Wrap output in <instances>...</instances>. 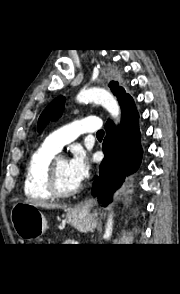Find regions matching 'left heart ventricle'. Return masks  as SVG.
<instances>
[{"instance_id":"1","label":"left heart ventricle","mask_w":180,"mask_h":294,"mask_svg":"<svg viewBox=\"0 0 180 294\" xmlns=\"http://www.w3.org/2000/svg\"><path fill=\"white\" fill-rule=\"evenodd\" d=\"M57 178L60 188L64 191H71L79 186L72 178L65 159H60L57 163Z\"/></svg>"}]
</instances>
